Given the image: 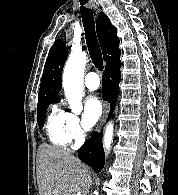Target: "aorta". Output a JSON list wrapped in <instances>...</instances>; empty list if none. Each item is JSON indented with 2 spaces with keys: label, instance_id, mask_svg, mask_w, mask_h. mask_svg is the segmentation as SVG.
Returning a JSON list of instances; mask_svg holds the SVG:
<instances>
[{
  "label": "aorta",
  "instance_id": "1",
  "mask_svg": "<svg viewBox=\"0 0 178 195\" xmlns=\"http://www.w3.org/2000/svg\"><path fill=\"white\" fill-rule=\"evenodd\" d=\"M87 63V56L84 52H73L69 56L63 72V88L65 96L74 113L82 111V92L84 69ZM113 124L106 126L103 144L105 151H109L113 141Z\"/></svg>",
  "mask_w": 178,
  "mask_h": 195
}]
</instances>
